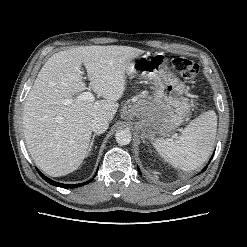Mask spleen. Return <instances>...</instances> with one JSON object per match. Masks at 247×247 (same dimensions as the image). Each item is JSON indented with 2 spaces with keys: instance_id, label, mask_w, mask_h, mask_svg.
Returning a JSON list of instances; mask_svg holds the SVG:
<instances>
[{
  "instance_id": "spleen-1",
  "label": "spleen",
  "mask_w": 247,
  "mask_h": 247,
  "mask_svg": "<svg viewBox=\"0 0 247 247\" xmlns=\"http://www.w3.org/2000/svg\"><path fill=\"white\" fill-rule=\"evenodd\" d=\"M217 116L212 110L201 114L174 141L162 138L153 143L159 155L175 168L192 171L209 157L216 137Z\"/></svg>"
}]
</instances>
